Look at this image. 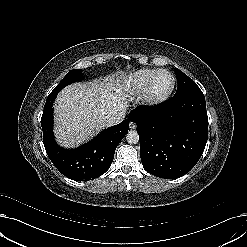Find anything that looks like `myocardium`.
<instances>
[{"label":"myocardium","mask_w":247,"mask_h":247,"mask_svg":"<svg viewBox=\"0 0 247 247\" xmlns=\"http://www.w3.org/2000/svg\"><path fill=\"white\" fill-rule=\"evenodd\" d=\"M163 73L167 74L170 77L171 83L169 87L166 88L165 90L158 91L156 89L155 84L157 78ZM174 87H175V77L173 76V74L166 69H160L153 75V77L147 84L145 90L141 94L140 103L145 106H154L160 104L169 98V96L174 90Z\"/></svg>","instance_id":"f54148a6"}]
</instances>
